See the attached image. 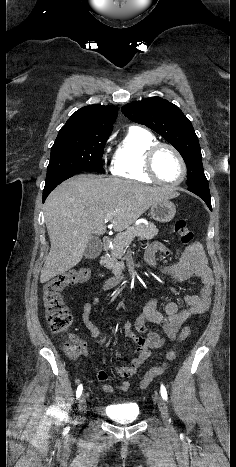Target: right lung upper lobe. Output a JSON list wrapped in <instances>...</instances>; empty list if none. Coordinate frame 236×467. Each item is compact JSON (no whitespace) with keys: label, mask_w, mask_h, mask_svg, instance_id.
<instances>
[{"label":"right lung upper lobe","mask_w":236,"mask_h":467,"mask_svg":"<svg viewBox=\"0 0 236 467\" xmlns=\"http://www.w3.org/2000/svg\"><path fill=\"white\" fill-rule=\"evenodd\" d=\"M117 112L116 107L109 105L85 106L73 113L60 131L111 133Z\"/></svg>","instance_id":"obj_1"}]
</instances>
